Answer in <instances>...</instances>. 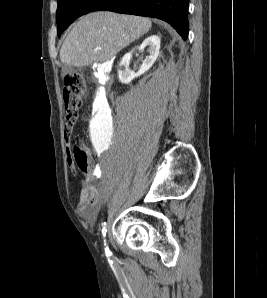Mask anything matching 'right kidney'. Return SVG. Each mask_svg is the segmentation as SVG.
<instances>
[{"label": "right kidney", "mask_w": 267, "mask_h": 298, "mask_svg": "<svg viewBox=\"0 0 267 298\" xmlns=\"http://www.w3.org/2000/svg\"><path fill=\"white\" fill-rule=\"evenodd\" d=\"M160 37L158 35H151L147 37L139 46H137V49L143 50L145 47H148L149 56L146 57V59L143 61L140 69L137 73L131 71L129 69V63L130 59L132 57V52H129L124 55L122 58L120 64H119V80L123 84L130 83L134 78L144 74L146 71H148L154 62L156 61L159 50H160Z\"/></svg>", "instance_id": "1"}]
</instances>
